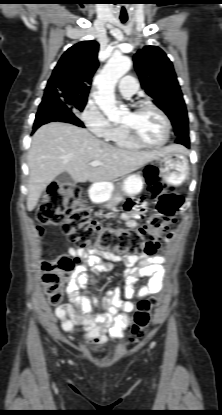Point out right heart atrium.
Here are the masks:
<instances>
[{
	"label": "right heart atrium",
	"instance_id": "right-heart-atrium-1",
	"mask_svg": "<svg viewBox=\"0 0 222 415\" xmlns=\"http://www.w3.org/2000/svg\"><path fill=\"white\" fill-rule=\"evenodd\" d=\"M79 118L90 132L103 139H109L116 128L93 100L86 103Z\"/></svg>",
	"mask_w": 222,
	"mask_h": 415
}]
</instances>
